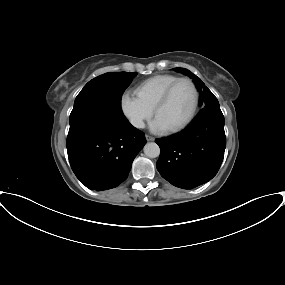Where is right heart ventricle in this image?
<instances>
[{"label": "right heart ventricle", "instance_id": "right-heart-ventricle-1", "mask_svg": "<svg viewBox=\"0 0 285 285\" xmlns=\"http://www.w3.org/2000/svg\"><path fill=\"white\" fill-rule=\"evenodd\" d=\"M178 78L174 74H159L150 77L136 86V95L147 106L153 109L168 86Z\"/></svg>", "mask_w": 285, "mask_h": 285}]
</instances>
